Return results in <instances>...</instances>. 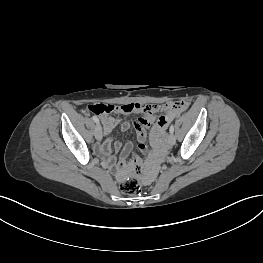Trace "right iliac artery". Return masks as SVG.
<instances>
[{
    "label": "right iliac artery",
    "instance_id": "82829eb1",
    "mask_svg": "<svg viewBox=\"0 0 263 263\" xmlns=\"http://www.w3.org/2000/svg\"><path fill=\"white\" fill-rule=\"evenodd\" d=\"M93 121L96 122L97 124H99V119L96 116L92 117Z\"/></svg>",
    "mask_w": 263,
    "mask_h": 263
}]
</instances>
